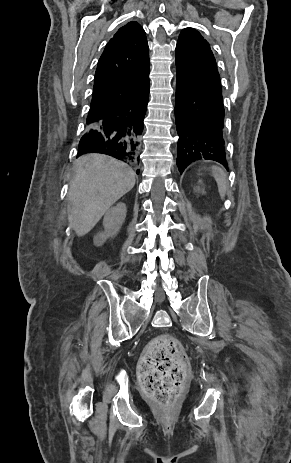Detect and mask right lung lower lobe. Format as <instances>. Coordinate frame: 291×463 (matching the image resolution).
<instances>
[{"label":"right lung lower lobe","instance_id":"obj_1","mask_svg":"<svg viewBox=\"0 0 291 463\" xmlns=\"http://www.w3.org/2000/svg\"><path fill=\"white\" fill-rule=\"evenodd\" d=\"M149 98V84L125 99L122 105L86 127L78 156L102 153L119 159L139 173L140 138Z\"/></svg>","mask_w":291,"mask_h":463}]
</instances>
